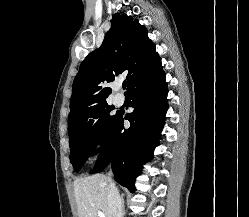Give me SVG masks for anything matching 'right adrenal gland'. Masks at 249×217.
Here are the masks:
<instances>
[{"label":"right adrenal gland","mask_w":249,"mask_h":217,"mask_svg":"<svg viewBox=\"0 0 249 217\" xmlns=\"http://www.w3.org/2000/svg\"><path fill=\"white\" fill-rule=\"evenodd\" d=\"M125 214V205H124V198L122 197V217Z\"/></svg>","instance_id":"obj_1"}]
</instances>
